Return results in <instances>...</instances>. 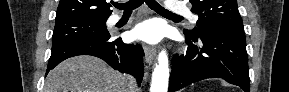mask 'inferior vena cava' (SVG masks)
Wrapping results in <instances>:
<instances>
[{
	"label": "inferior vena cava",
	"instance_id": "1",
	"mask_svg": "<svg viewBox=\"0 0 289 92\" xmlns=\"http://www.w3.org/2000/svg\"><path fill=\"white\" fill-rule=\"evenodd\" d=\"M127 81L129 83L130 89H132L131 91H134V89H136L135 79L132 76H127Z\"/></svg>",
	"mask_w": 289,
	"mask_h": 92
}]
</instances>
